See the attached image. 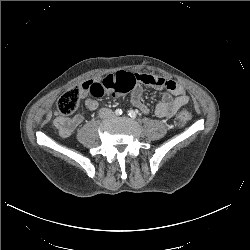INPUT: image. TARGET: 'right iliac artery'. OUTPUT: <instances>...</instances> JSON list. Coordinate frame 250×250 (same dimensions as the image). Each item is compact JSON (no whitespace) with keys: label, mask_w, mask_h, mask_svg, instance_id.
<instances>
[{"label":"right iliac artery","mask_w":250,"mask_h":250,"mask_svg":"<svg viewBox=\"0 0 250 250\" xmlns=\"http://www.w3.org/2000/svg\"><path fill=\"white\" fill-rule=\"evenodd\" d=\"M115 114H116L117 116L121 115V114H122V110H121V109H116V110H115Z\"/></svg>","instance_id":"right-iliac-artery-1"}]
</instances>
